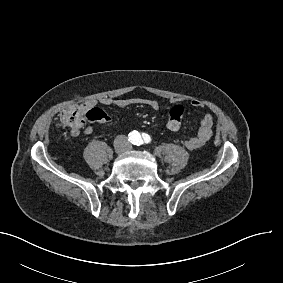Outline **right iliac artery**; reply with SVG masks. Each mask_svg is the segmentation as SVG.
Returning a JSON list of instances; mask_svg holds the SVG:
<instances>
[{"label": "right iliac artery", "instance_id": "right-iliac-artery-1", "mask_svg": "<svg viewBox=\"0 0 283 283\" xmlns=\"http://www.w3.org/2000/svg\"><path fill=\"white\" fill-rule=\"evenodd\" d=\"M140 134L138 133V131H132L130 134H129V137L132 141H135L137 139V137L139 136Z\"/></svg>", "mask_w": 283, "mask_h": 283}]
</instances>
